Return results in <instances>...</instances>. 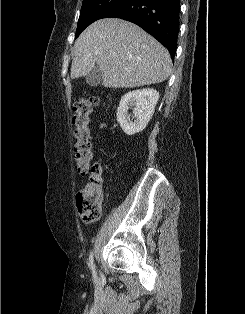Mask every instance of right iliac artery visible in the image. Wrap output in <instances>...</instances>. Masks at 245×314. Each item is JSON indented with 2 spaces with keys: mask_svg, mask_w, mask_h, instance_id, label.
Masks as SVG:
<instances>
[{
  "mask_svg": "<svg viewBox=\"0 0 245 314\" xmlns=\"http://www.w3.org/2000/svg\"><path fill=\"white\" fill-rule=\"evenodd\" d=\"M89 267L90 269L92 270L93 272V275L96 276V273H95V265H94V260H93V254L91 253L90 254V257H89Z\"/></svg>",
  "mask_w": 245,
  "mask_h": 314,
  "instance_id": "obj_1",
  "label": "right iliac artery"
}]
</instances>
